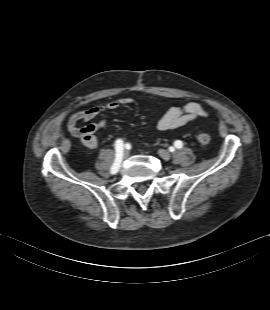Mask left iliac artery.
Instances as JSON below:
<instances>
[{
    "mask_svg": "<svg viewBox=\"0 0 270 310\" xmlns=\"http://www.w3.org/2000/svg\"><path fill=\"white\" fill-rule=\"evenodd\" d=\"M174 145H175V147H176V148H178V149H179V148H182L183 143H182V141L177 140V141H175Z\"/></svg>",
    "mask_w": 270,
    "mask_h": 310,
    "instance_id": "left-iliac-artery-1",
    "label": "left iliac artery"
}]
</instances>
